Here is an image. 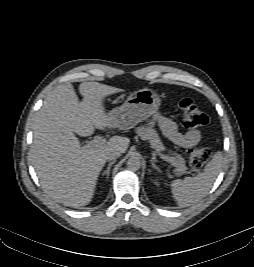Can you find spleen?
Instances as JSON below:
<instances>
[{
	"instance_id": "spleen-1",
	"label": "spleen",
	"mask_w": 254,
	"mask_h": 267,
	"mask_svg": "<svg viewBox=\"0 0 254 267\" xmlns=\"http://www.w3.org/2000/svg\"><path fill=\"white\" fill-rule=\"evenodd\" d=\"M222 162V153L218 151L212 160L206 164L203 171L195 177L173 180L170 186L177 204L184 208L197 203L205 197L220 173Z\"/></svg>"
}]
</instances>
